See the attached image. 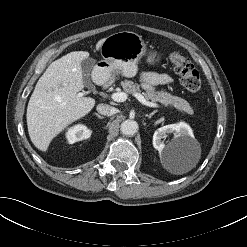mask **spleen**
Masks as SVG:
<instances>
[{
  "mask_svg": "<svg viewBox=\"0 0 247 247\" xmlns=\"http://www.w3.org/2000/svg\"><path fill=\"white\" fill-rule=\"evenodd\" d=\"M189 169H186V170H179V171H177L176 173L177 174H183V173H185V172H187Z\"/></svg>",
  "mask_w": 247,
  "mask_h": 247,
  "instance_id": "1",
  "label": "spleen"
}]
</instances>
